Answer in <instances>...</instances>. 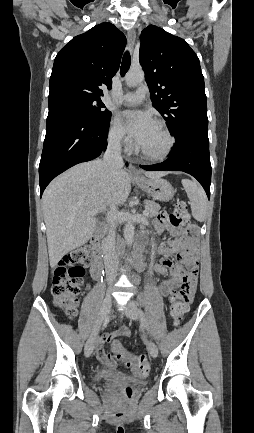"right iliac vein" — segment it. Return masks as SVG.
Returning a JSON list of instances; mask_svg holds the SVG:
<instances>
[{
	"label": "right iliac vein",
	"mask_w": 254,
	"mask_h": 433,
	"mask_svg": "<svg viewBox=\"0 0 254 433\" xmlns=\"http://www.w3.org/2000/svg\"><path fill=\"white\" fill-rule=\"evenodd\" d=\"M112 302L113 301H112L111 295H107L103 300L102 307L100 310L98 325L85 344L84 351H85V355L87 357L90 356L93 352L95 340H96V336H97V333H98L99 328H100V324L107 318V316L110 312L111 306H112Z\"/></svg>",
	"instance_id": "right-iliac-vein-1"
}]
</instances>
